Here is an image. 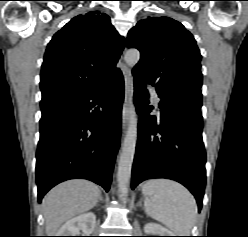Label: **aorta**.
Instances as JSON below:
<instances>
[{"mask_svg": "<svg viewBox=\"0 0 248 237\" xmlns=\"http://www.w3.org/2000/svg\"><path fill=\"white\" fill-rule=\"evenodd\" d=\"M124 58L127 65L133 68L140 59V53L136 49H131L126 52ZM129 113V124L122 144L117 171L118 191L121 200H126L128 195L129 180L137 143V118L133 102H131Z\"/></svg>", "mask_w": 248, "mask_h": 237, "instance_id": "obj_1", "label": "aorta"}]
</instances>
